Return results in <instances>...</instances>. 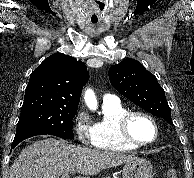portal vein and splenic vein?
I'll list each match as a JSON object with an SVG mask.
<instances>
[{
	"mask_svg": "<svg viewBox=\"0 0 194 178\" xmlns=\"http://www.w3.org/2000/svg\"><path fill=\"white\" fill-rule=\"evenodd\" d=\"M61 178H69L68 175H62Z\"/></svg>",
	"mask_w": 194,
	"mask_h": 178,
	"instance_id": "18ae733b",
	"label": "portal vein and splenic vein"
}]
</instances>
